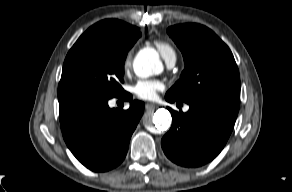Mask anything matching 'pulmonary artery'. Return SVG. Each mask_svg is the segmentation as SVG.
<instances>
[{
    "mask_svg": "<svg viewBox=\"0 0 292 192\" xmlns=\"http://www.w3.org/2000/svg\"><path fill=\"white\" fill-rule=\"evenodd\" d=\"M174 63H175V60H171V61L168 62V65H169V66H173ZM187 109H188V108L186 107V110H187Z\"/></svg>",
    "mask_w": 292,
    "mask_h": 192,
    "instance_id": "1",
    "label": "pulmonary artery"
}]
</instances>
